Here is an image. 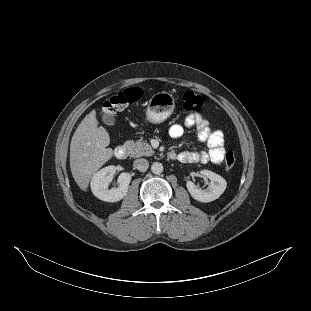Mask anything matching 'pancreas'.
<instances>
[{
  "mask_svg": "<svg viewBox=\"0 0 311 311\" xmlns=\"http://www.w3.org/2000/svg\"><path fill=\"white\" fill-rule=\"evenodd\" d=\"M124 146L131 157L152 156L155 153L151 145L144 141L128 140Z\"/></svg>",
  "mask_w": 311,
  "mask_h": 311,
  "instance_id": "1",
  "label": "pancreas"
}]
</instances>
